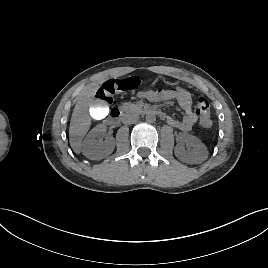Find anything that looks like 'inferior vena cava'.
Here are the masks:
<instances>
[{
  "mask_svg": "<svg viewBox=\"0 0 268 268\" xmlns=\"http://www.w3.org/2000/svg\"><path fill=\"white\" fill-rule=\"evenodd\" d=\"M139 119V116L137 113L134 112H128L123 117V123L124 124H133L137 122Z\"/></svg>",
  "mask_w": 268,
  "mask_h": 268,
  "instance_id": "602c4592",
  "label": "inferior vena cava"
}]
</instances>
